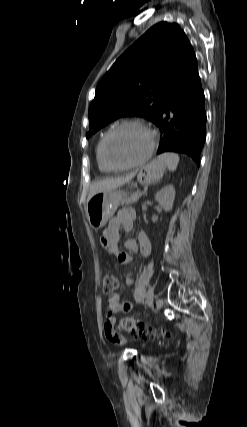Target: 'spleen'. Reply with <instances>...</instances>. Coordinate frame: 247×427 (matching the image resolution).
I'll return each instance as SVG.
<instances>
[{"instance_id": "obj_1", "label": "spleen", "mask_w": 247, "mask_h": 427, "mask_svg": "<svg viewBox=\"0 0 247 427\" xmlns=\"http://www.w3.org/2000/svg\"><path fill=\"white\" fill-rule=\"evenodd\" d=\"M157 161L165 164L169 170L175 171L179 163V156L176 153H163L158 156Z\"/></svg>"}]
</instances>
